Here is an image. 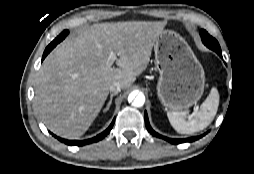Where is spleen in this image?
Instances as JSON below:
<instances>
[{"mask_svg":"<svg viewBox=\"0 0 254 174\" xmlns=\"http://www.w3.org/2000/svg\"><path fill=\"white\" fill-rule=\"evenodd\" d=\"M219 106V93L213 87L201 104L200 110L193 117L186 119V111H168L167 116L172 127L180 134H192L205 129L213 121Z\"/></svg>","mask_w":254,"mask_h":174,"instance_id":"1","label":"spleen"}]
</instances>
